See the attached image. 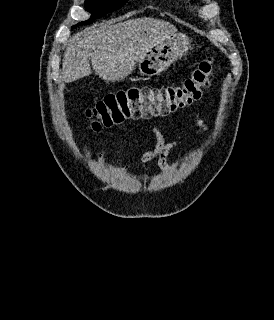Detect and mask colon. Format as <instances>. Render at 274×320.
Returning <instances> with one entry per match:
<instances>
[{"label": "colon", "instance_id": "5ec220e1", "mask_svg": "<svg viewBox=\"0 0 274 320\" xmlns=\"http://www.w3.org/2000/svg\"><path fill=\"white\" fill-rule=\"evenodd\" d=\"M215 72V59L207 57L180 85L131 87L111 92L89 107L85 116L90 127L99 131L126 120L168 115L200 100Z\"/></svg>", "mask_w": 274, "mask_h": 320}]
</instances>
